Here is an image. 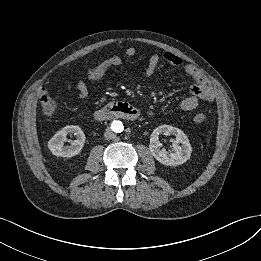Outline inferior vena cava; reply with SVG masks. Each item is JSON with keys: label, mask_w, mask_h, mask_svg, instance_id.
I'll use <instances>...</instances> for the list:
<instances>
[{"label": "inferior vena cava", "mask_w": 261, "mask_h": 261, "mask_svg": "<svg viewBox=\"0 0 261 261\" xmlns=\"http://www.w3.org/2000/svg\"><path fill=\"white\" fill-rule=\"evenodd\" d=\"M114 137H115V134L113 133V131L110 128H107L106 132L104 134V138L106 140H110V139H113Z\"/></svg>", "instance_id": "1"}]
</instances>
